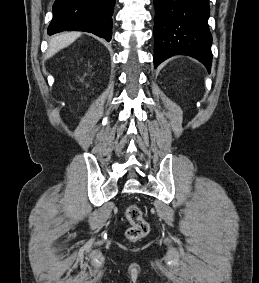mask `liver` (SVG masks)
Masks as SVG:
<instances>
[{
    "mask_svg": "<svg viewBox=\"0 0 259 283\" xmlns=\"http://www.w3.org/2000/svg\"><path fill=\"white\" fill-rule=\"evenodd\" d=\"M80 36H81V33L69 32V33H62V34L52 37L49 41V48H48L46 57L47 58L52 57L61 49L68 47Z\"/></svg>",
    "mask_w": 259,
    "mask_h": 283,
    "instance_id": "liver-1",
    "label": "liver"
}]
</instances>
